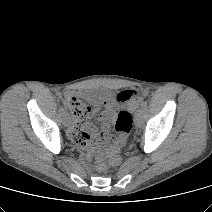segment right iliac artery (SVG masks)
Returning a JSON list of instances; mask_svg holds the SVG:
<instances>
[{
  "label": "right iliac artery",
  "mask_w": 212,
  "mask_h": 212,
  "mask_svg": "<svg viewBox=\"0 0 212 212\" xmlns=\"http://www.w3.org/2000/svg\"><path fill=\"white\" fill-rule=\"evenodd\" d=\"M60 112H61L62 114H64V113H65V111H64V109H63V107H61V108H60Z\"/></svg>",
  "instance_id": "1"
}]
</instances>
